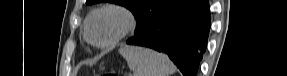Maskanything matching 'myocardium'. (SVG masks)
<instances>
[{
	"label": "myocardium",
	"mask_w": 287,
	"mask_h": 76,
	"mask_svg": "<svg viewBox=\"0 0 287 76\" xmlns=\"http://www.w3.org/2000/svg\"><path fill=\"white\" fill-rule=\"evenodd\" d=\"M106 12H112L120 15L122 17V25L119 31L112 36L110 39L104 42H98L95 41L91 35H90V25L92 21L99 15L106 13ZM137 25V19L134 13L128 9L125 6L118 5V4H108L105 6H102L96 10H94L86 19L85 26H84V34L87 39V41L92 44L95 47L98 48H108L122 39H124L129 33H131Z\"/></svg>",
	"instance_id": "obj_1"
}]
</instances>
